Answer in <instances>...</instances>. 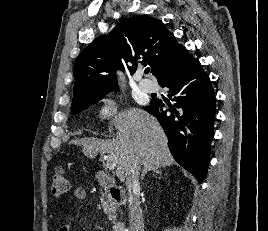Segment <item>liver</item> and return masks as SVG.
Returning a JSON list of instances; mask_svg holds the SVG:
<instances>
[{
  "label": "liver",
  "instance_id": "1",
  "mask_svg": "<svg viewBox=\"0 0 268 231\" xmlns=\"http://www.w3.org/2000/svg\"><path fill=\"white\" fill-rule=\"evenodd\" d=\"M117 133L113 139L84 138L75 143L83 146L85 155L100 154L117 156L116 176L124 181L126 171L133 161L156 166L173 165L174 159L167 146V137L159 122L139 108L119 113L113 120Z\"/></svg>",
  "mask_w": 268,
  "mask_h": 231
}]
</instances>
